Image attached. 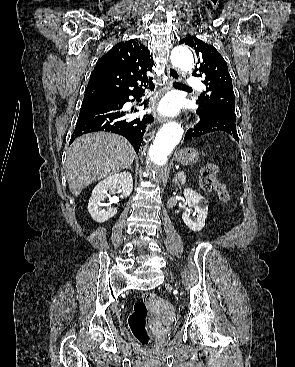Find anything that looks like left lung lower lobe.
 Here are the masks:
<instances>
[{"mask_svg": "<svg viewBox=\"0 0 295 367\" xmlns=\"http://www.w3.org/2000/svg\"><path fill=\"white\" fill-rule=\"evenodd\" d=\"M199 117L197 126L186 132L184 140L196 138L207 133L223 131L230 134L239 142L236 125L235 113L227 110L207 111L198 108L196 111Z\"/></svg>", "mask_w": 295, "mask_h": 367, "instance_id": "left-lung-lower-lobe-1", "label": "left lung lower lobe"}]
</instances>
